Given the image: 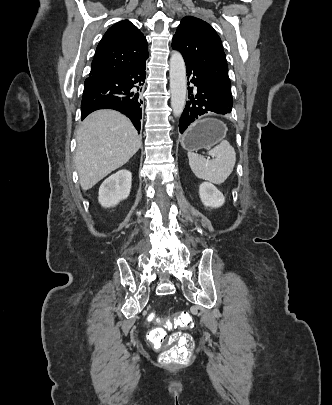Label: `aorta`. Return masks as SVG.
I'll return each instance as SVG.
<instances>
[{
    "label": "aorta",
    "instance_id": "obj_1",
    "mask_svg": "<svg viewBox=\"0 0 332 405\" xmlns=\"http://www.w3.org/2000/svg\"><path fill=\"white\" fill-rule=\"evenodd\" d=\"M171 107L175 117H180L186 103V67L180 52L173 51L170 57Z\"/></svg>",
    "mask_w": 332,
    "mask_h": 405
}]
</instances>
